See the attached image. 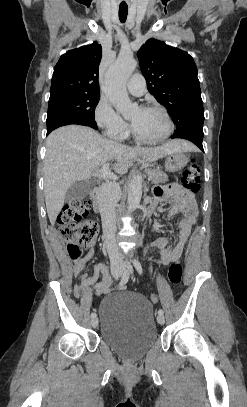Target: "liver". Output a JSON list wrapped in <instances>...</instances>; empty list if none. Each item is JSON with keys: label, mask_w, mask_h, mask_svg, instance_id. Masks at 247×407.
<instances>
[{"label": "liver", "mask_w": 247, "mask_h": 407, "mask_svg": "<svg viewBox=\"0 0 247 407\" xmlns=\"http://www.w3.org/2000/svg\"><path fill=\"white\" fill-rule=\"evenodd\" d=\"M194 146L183 140H172L158 147L133 148L108 140L89 127L69 125L53 131L46 141L44 160V194L51 224L60 213L65 194L77 181L89 180L105 163L118 174H125L133 160L156 161L174 152L191 151Z\"/></svg>", "instance_id": "obj_1"}]
</instances>
